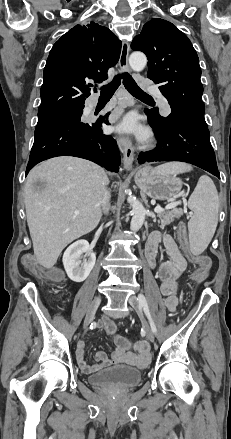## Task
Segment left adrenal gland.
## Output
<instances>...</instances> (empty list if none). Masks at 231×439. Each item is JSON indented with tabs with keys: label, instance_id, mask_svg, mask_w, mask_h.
I'll list each match as a JSON object with an SVG mask.
<instances>
[{
	"label": "left adrenal gland",
	"instance_id": "a2214340",
	"mask_svg": "<svg viewBox=\"0 0 231 439\" xmlns=\"http://www.w3.org/2000/svg\"><path fill=\"white\" fill-rule=\"evenodd\" d=\"M143 196V199H144V201L146 202V204H147V206H148V201H147V199H146V196L145 195H142Z\"/></svg>",
	"mask_w": 231,
	"mask_h": 439
}]
</instances>
